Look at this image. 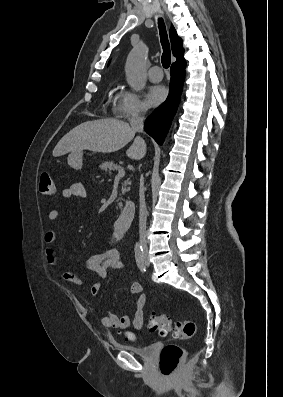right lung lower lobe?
Wrapping results in <instances>:
<instances>
[{"instance_id": "1", "label": "right lung lower lobe", "mask_w": 283, "mask_h": 397, "mask_svg": "<svg viewBox=\"0 0 283 397\" xmlns=\"http://www.w3.org/2000/svg\"><path fill=\"white\" fill-rule=\"evenodd\" d=\"M185 67V60L172 64L168 98L145 121L144 130L160 145L164 142L180 102L185 79Z\"/></svg>"}]
</instances>
